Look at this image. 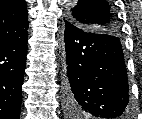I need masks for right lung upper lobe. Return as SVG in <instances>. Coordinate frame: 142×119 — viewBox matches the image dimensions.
<instances>
[{"instance_id": "1", "label": "right lung upper lobe", "mask_w": 142, "mask_h": 119, "mask_svg": "<svg viewBox=\"0 0 142 119\" xmlns=\"http://www.w3.org/2000/svg\"><path fill=\"white\" fill-rule=\"evenodd\" d=\"M28 18L24 0H0V43L27 32Z\"/></svg>"}]
</instances>
